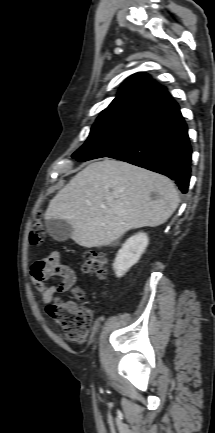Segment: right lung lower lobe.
<instances>
[{
	"instance_id": "obj_1",
	"label": "right lung lower lobe",
	"mask_w": 215,
	"mask_h": 433,
	"mask_svg": "<svg viewBox=\"0 0 215 433\" xmlns=\"http://www.w3.org/2000/svg\"><path fill=\"white\" fill-rule=\"evenodd\" d=\"M191 146L187 125L173 101L151 115L122 149L107 156L163 174L186 193L191 176Z\"/></svg>"
}]
</instances>
